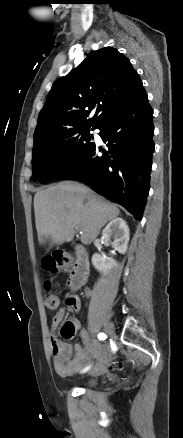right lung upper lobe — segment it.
<instances>
[{"label": "right lung upper lobe", "instance_id": "obj_1", "mask_svg": "<svg viewBox=\"0 0 183 438\" xmlns=\"http://www.w3.org/2000/svg\"><path fill=\"white\" fill-rule=\"evenodd\" d=\"M145 93L137 72L117 49L90 52L77 68L53 84L39 113L34 141L74 128L97 127ZM92 110L96 112L88 119Z\"/></svg>", "mask_w": 183, "mask_h": 438}]
</instances>
